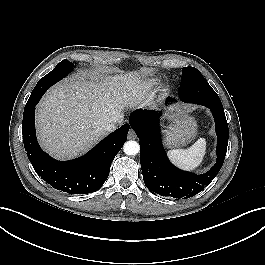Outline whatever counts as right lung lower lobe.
<instances>
[{"mask_svg":"<svg viewBox=\"0 0 265 265\" xmlns=\"http://www.w3.org/2000/svg\"><path fill=\"white\" fill-rule=\"evenodd\" d=\"M47 86L34 88L24 109L23 142L36 173L53 188L69 194H86L102 187L111 163L127 140L129 124L104 138L86 155L71 161H57L40 148L35 133V106Z\"/></svg>","mask_w":265,"mask_h":265,"instance_id":"right-lung-lower-lobe-1","label":"right lung lower lobe"}]
</instances>
